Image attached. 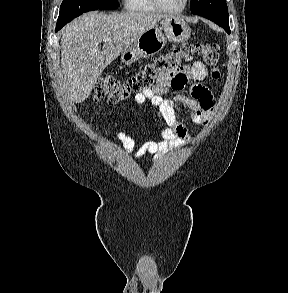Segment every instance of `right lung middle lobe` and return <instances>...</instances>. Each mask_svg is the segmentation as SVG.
I'll return each instance as SVG.
<instances>
[{
  "label": "right lung middle lobe",
  "mask_w": 288,
  "mask_h": 293,
  "mask_svg": "<svg viewBox=\"0 0 288 293\" xmlns=\"http://www.w3.org/2000/svg\"><path fill=\"white\" fill-rule=\"evenodd\" d=\"M117 0H63L56 27H63L75 17L99 9H117Z\"/></svg>",
  "instance_id": "dd1d6c3e"
}]
</instances>
